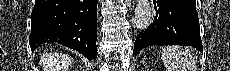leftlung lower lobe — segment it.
<instances>
[{"mask_svg": "<svg viewBox=\"0 0 230 71\" xmlns=\"http://www.w3.org/2000/svg\"><path fill=\"white\" fill-rule=\"evenodd\" d=\"M155 16L137 35L133 54L153 45H189L203 51L195 0H153Z\"/></svg>", "mask_w": 230, "mask_h": 71, "instance_id": "0a47b994", "label": "left lung lower lobe"}]
</instances>
